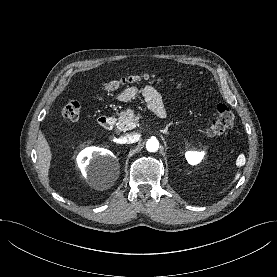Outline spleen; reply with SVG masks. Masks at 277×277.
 <instances>
[{"mask_svg":"<svg viewBox=\"0 0 277 277\" xmlns=\"http://www.w3.org/2000/svg\"><path fill=\"white\" fill-rule=\"evenodd\" d=\"M239 176H240V173H237V174L235 175V178H234L233 182H235V181L239 178Z\"/></svg>","mask_w":277,"mask_h":277,"instance_id":"obj_1","label":"spleen"}]
</instances>
